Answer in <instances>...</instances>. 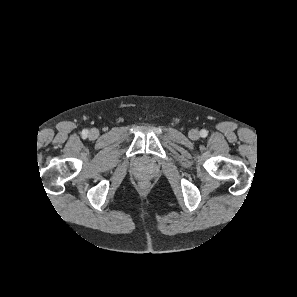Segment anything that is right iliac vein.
I'll return each mask as SVG.
<instances>
[{
	"instance_id": "obj_1",
	"label": "right iliac vein",
	"mask_w": 297,
	"mask_h": 297,
	"mask_svg": "<svg viewBox=\"0 0 297 297\" xmlns=\"http://www.w3.org/2000/svg\"><path fill=\"white\" fill-rule=\"evenodd\" d=\"M98 135H99V133H98V131L96 129H91L89 131V137L91 139H96L98 137Z\"/></svg>"
}]
</instances>
